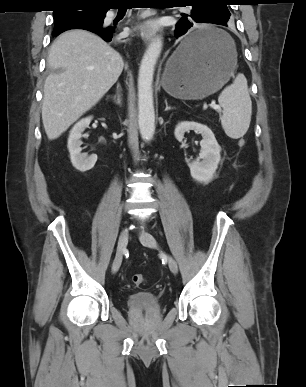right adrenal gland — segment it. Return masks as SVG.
<instances>
[{
  "label": "right adrenal gland",
  "mask_w": 306,
  "mask_h": 387,
  "mask_svg": "<svg viewBox=\"0 0 306 387\" xmlns=\"http://www.w3.org/2000/svg\"><path fill=\"white\" fill-rule=\"evenodd\" d=\"M111 99L114 101V103L116 105H121V101H122V89H121V86H120V83H117V86H116V94L114 96H111Z\"/></svg>",
  "instance_id": "1"
}]
</instances>
